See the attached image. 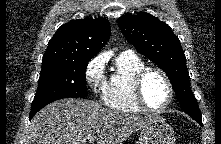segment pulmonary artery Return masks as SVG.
I'll return each mask as SVG.
<instances>
[{
  "mask_svg": "<svg viewBox=\"0 0 221 144\" xmlns=\"http://www.w3.org/2000/svg\"><path fill=\"white\" fill-rule=\"evenodd\" d=\"M122 53L133 54V52L131 50H126V51H123Z\"/></svg>",
  "mask_w": 221,
  "mask_h": 144,
  "instance_id": "e3ab8cb5",
  "label": "pulmonary artery"
}]
</instances>
